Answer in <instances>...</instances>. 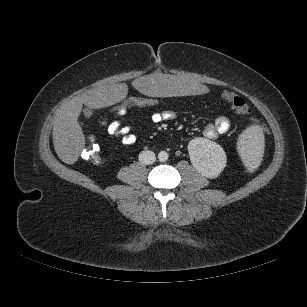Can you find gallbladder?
<instances>
[{
    "mask_svg": "<svg viewBox=\"0 0 307 307\" xmlns=\"http://www.w3.org/2000/svg\"><path fill=\"white\" fill-rule=\"evenodd\" d=\"M83 112H84V115H85L87 118H90V117L93 115L92 111H91L90 109H88V108H85V109L83 110Z\"/></svg>",
    "mask_w": 307,
    "mask_h": 307,
    "instance_id": "gallbladder-1",
    "label": "gallbladder"
}]
</instances>
